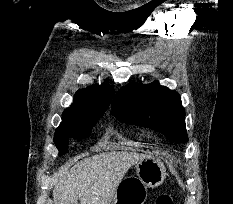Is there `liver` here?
<instances>
[{
  "instance_id": "6515ba94",
  "label": "liver",
  "mask_w": 233,
  "mask_h": 204,
  "mask_svg": "<svg viewBox=\"0 0 233 204\" xmlns=\"http://www.w3.org/2000/svg\"><path fill=\"white\" fill-rule=\"evenodd\" d=\"M143 154L111 151L78 161L60 174L53 190L54 204H110L129 168Z\"/></svg>"
}]
</instances>
